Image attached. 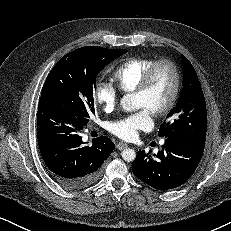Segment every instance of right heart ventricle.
<instances>
[{
  "instance_id": "1",
  "label": "right heart ventricle",
  "mask_w": 231,
  "mask_h": 231,
  "mask_svg": "<svg viewBox=\"0 0 231 231\" xmlns=\"http://www.w3.org/2000/svg\"><path fill=\"white\" fill-rule=\"evenodd\" d=\"M154 62L153 58H132L121 64L113 73L117 88L122 93L134 92L145 72Z\"/></svg>"
}]
</instances>
